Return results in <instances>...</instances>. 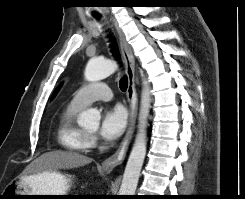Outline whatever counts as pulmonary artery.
Instances as JSON below:
<instances>
[{
	"label": "pulmonary artery",
	"mask_w": 245,
	"mask_h": 199,
	"mask_svg": "<svg viewBox=\"0 0 245 199\" xmlns=\"http://www.w3.org/2000/svg\"><path fill=\"white\" fill-rule=\"evenodd\" d=\"M112 97L113 94L106 84L96 82L78 89L73 94L70 103L79 108H85L94 101H108L111 100Z\"/></svg>",
	"instance_id": "obj_1"
}]
</instances>
